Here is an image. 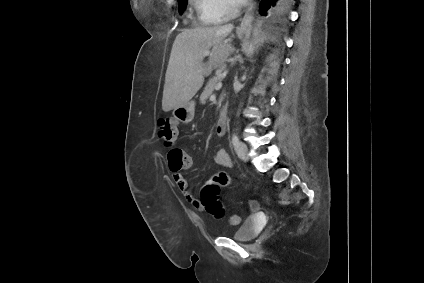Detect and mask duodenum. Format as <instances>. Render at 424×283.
<instances>
[{
  "label": "duodenum",
  "instance_id": "410a0bca",
  "mask_svg": "<svg viewBox=\"0 0 424 283\" xmlns=\"http://www.w3.org/2000/svg\"><path fill=\"white\" fill-rule=\"evenodd\" d=\"M227 127V112L226 108L220 113L217 123H216V132L218 135H223Z\"/></svg>",
  "mask_w": 424,
  "mask_h": 283
}]
</instances>
